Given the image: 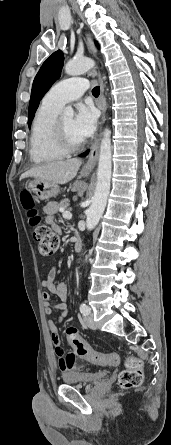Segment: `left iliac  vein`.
Segmentation results:
<instances>
[{
	"label": "left iliac vein",
	"mask_w": 171,
	"mask_h": 445,
	"mask_svg": "<svg viewBox=\"0 0 171 445\" xmlns=\"http://www.w3.org/2000/svg\"><path fill=\"white\" fill-rule=\"evenodd\" d=\"M84 322L90 329H93V330L97 329V325L93 320V315H92L91 309H90L89 314L84 317Z\"/></svg>",
	"instance_id": "1"
}]
</instances>
